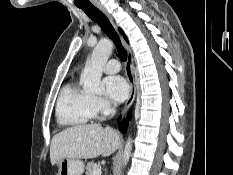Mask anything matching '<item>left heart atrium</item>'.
<instances>
[{"mask_svg":"<svg viewBox=\"0 0 233 175\" xmlns=\"http://www.w3.org/2000/svg\"><path fill=\"white\" fill-rule=\"evenodd\" d=\"M106 94L115 102L124 101L129 94V86L126 80L118 75L106 77L103 80Z\"/></svg>","mask_w":233,"mask_h":175,"instance_id":"1","label":"left heart atrium"}]
</instances>
